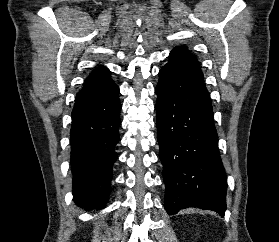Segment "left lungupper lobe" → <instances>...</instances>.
Here are the masks:
<instances>
[{
  "label": "left lung upper lobe",
  "mask_w": 279,
  "mask_h": 242,
  "mask_svg": "<svg viewBox=\"0 0 279 242\" xmlns=\"http://www.w3.org/2000/svg\"><path fill=\"white\" fill-rule=\"evenodd\" d=\"M172 51L174 52H179L182 54H185L186 56L190 57L194 62H196L197 64L199 63L198 60L196 59L195 56H193L186 47L183 46H178L176 48H174Z\"/></svg>",
  "instance_id": "5c2ea615"
}]
</instances>
